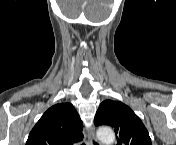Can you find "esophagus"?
<instances>
[{
  "label": "esophagus",
  "mask_w": 176,
  "mask_h": 145,
  "mask_svg": "<svg viewBox=\"0 0 176 145\" xmlns=\"http://www.w3.org/2000/svg\"><path fill=\"white\" fill-rule=\"evenodd\" d=\"M87 145H100V143L95 137V132L93 128H90L88 131Z\"/></svg>",
  "instance_id": "34e87169"
}]
</instances>
